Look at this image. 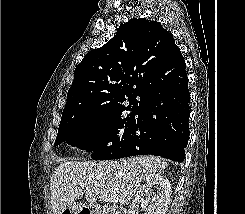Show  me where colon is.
<instances>
[{"label":"colon","mask_w":245,"mask_h":214,"mask_svg":"<svg viewBox=\"0 0 245 214\" xmlns=\"http://www.w3.org/2000/svg\"><path fill=\"white\" fill-rule=\"evenodd\" d=\"M84 214H89L88 212H85Z\"/></svg>","instance_id":"5ec220e1"}]
</instances>
